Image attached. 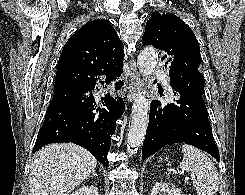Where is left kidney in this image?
<instances>
[{"instance_id":"left-kidney-1","label":"left kidney","mask_w":245,"mask_h":195,"mask_svg":"<svg viewBox=\"0 0 245 195\" xmlns=\"http://www.w3.org/2000/svg\"><path fill=\"white\" fill-rule=\"evenodd\" d=\"M181 195L179 189L165 182H157L151 191V195Z\"/></svg>"}]
</instances>
